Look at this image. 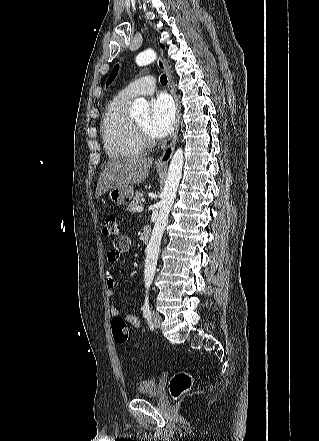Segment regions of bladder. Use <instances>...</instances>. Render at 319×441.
Here are the masks:
<instances>
[{
    "instance_id": "1",
    "label": "bladder",
    "mask_w": 319,
    "mask_h": 441,
    "mask_svg": "<svg viewBox=\"0 0 319 441\" xmlns=\"http://www.w3.org/2000/svg\"><path fill=\"white\" fill-rule=\"evenodd\" d=\"M158 394V383L156 379H149L139 383L136 389L138 397H154Z\"/></svg>"
}]
</instances>
